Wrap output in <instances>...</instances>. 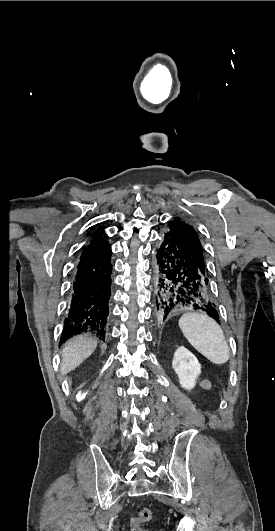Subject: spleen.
<instances>
[{
	"mask_svg": "<svg viewBox=\"0 0 275 531\" xmlns=\"http://www.w3.org/2000/svg\"><path fill=\"white\" fill-rule=\"evenodd\" d=\"M179 327L190 345L215 365H223L230 359L229 347L224 333L205 313H184Z\"/></svg>",
	"mask_w": 275,
	"mask_h": 531,
	"instance_id": "1",
	"label": "spleen"
}]
</instances>
